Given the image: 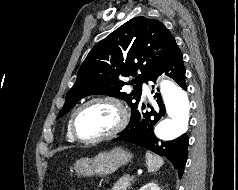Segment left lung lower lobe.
I'll use <instances>...</instances> for the list:
<instances>
[{
  "instance_id": "left-lung-lower-lobe-1",
  "label": "left lung lower lobe",
  "mask_w": 238,
  "mask_h": 190,
  "mask_svg": "<svg viewBox=\"0 0 238 190\" xmlns=\"http://www.w3.org/2000/svg\"><path fill=\"white\" fill-rule=\"evenodd\" d=\"M163 73L173 78L180 87L186 90L185 68L183 55L180 50L165 62L149 80L155 82L156 78ZM158 91L157 89L154 96L157 107L154 109L152 106L139 103L131 112L129 124L119 133V137L115 140L133 143L156 154L165 156L173 163L181 177L188 156V136L183 134L174 140L162 141L154 135L153 126L165 115V107ZM153 92L155 91L153 90ZM146 107H150L151 111H147Z\"/></svg>"
}]
</instances>
